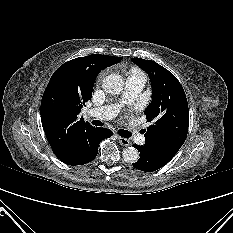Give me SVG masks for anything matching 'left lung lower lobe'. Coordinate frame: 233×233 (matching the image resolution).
<instances>
[{"label": "left lung lower lobe", "instance_id": "0a47b994", "mask_svg": "<svg viewBox=\"0 0 233 233\" xmlns=\"http://www.w3.org/2000/svg\"><path fill=\"white\" fill-rule=\"evenodd\" d=\"M133 146L140 152L139 160L132 164L138 170L152 172L160 169L170 161V159L161 156L144 145L135 144Z\"/></svg>", "mask_w": 233, "mask_h": 233}]
</instances>
